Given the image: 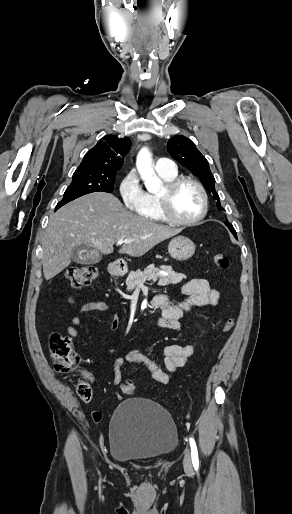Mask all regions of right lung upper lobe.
<instances>
[{
	"mask_svg": "<svg viewBox=\"0 0 292 514\" xmlns=\"http://www.w3.org/2000/svg\"><path fill=\"white\" fill-rule=\"evenodd\" d=\"M130 148L131 140L127 137L104 136L85 154L74 175L116 176Z\"/></svg>",
	"mask_w": 292,
	"mask_h": 514,
	"instance_id": "right-lung-upper-lobe-1",
	"label": "right lung upper lobe"
}]
</instances>
